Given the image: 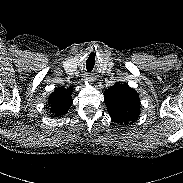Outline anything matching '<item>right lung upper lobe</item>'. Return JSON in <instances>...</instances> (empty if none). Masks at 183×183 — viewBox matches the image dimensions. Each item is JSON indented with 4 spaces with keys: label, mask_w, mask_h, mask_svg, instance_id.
Returning <instances> with one entry per match:
<instances>
[{
    "label": "right lung upper lobe",
    "mask_w": 183,
    "mask_h": 183,
    "mask_svg": "<svg viewBox=\"0 0 183 183\" xmlns=\"http://www.w3.org/2000/svg\"><path fill=\"white\" fill-rule=\"evenodd\" d=\"M72 91V87L58 88L49 96L48 104L53 115L59 117L68 112L72 104Z\"/></svg>",
    "instance_id": "1"
}]
</instances>
